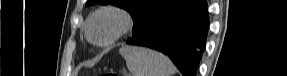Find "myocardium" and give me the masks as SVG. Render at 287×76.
Listing matches in <instances>:
<instances>
[{"mask_svg":"<svg viewBox=\"0 0 287 76\" xmlns=\"http://www.w3.org/2000/svg\"><path fill=\"white\" fill-rule=\"evenodd\" d=\"M104 15H111L117 19L118 21L117 29L108 38L104 40H97L92 37L90 33V29H91L93 22L97 18L104 16ZM133 25H134V19L129 11L118 6H106L101 9L96 10L89 16L86 22V25H85V35H86V38L92 44L99 46V47H108L114 44L119 39H121L127 32H129L131 28L133 27Z\"/></svg>","mask_w":287,"mask_h":76,"instance_id":"1","label":"myocardium"}]
</instances>
